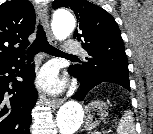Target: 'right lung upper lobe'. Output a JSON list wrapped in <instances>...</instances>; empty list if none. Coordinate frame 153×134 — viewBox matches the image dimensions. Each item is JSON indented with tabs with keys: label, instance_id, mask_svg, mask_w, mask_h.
Masks as SVG:
<instances>
[{
	"label": "right lung upper lobe",
	"instance_id": "cb5924a9",
	"mask_svg": "<svg viewBox=\"0 0 153 134\" xmlns=\"http://www.w3.org/2000/svg\"><path fill=\"white\" fill-rule=\"evenodd\" d=\"M34 27L35 12L28 0H12L0 5V66L23 58Z\"/></svg>",
	"mask_w": 153,
	"mask_h": 134
}]
</instances>
